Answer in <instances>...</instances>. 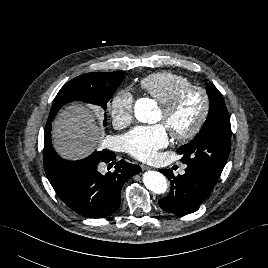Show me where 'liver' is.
Returning <instances> with one entry per match:
<instances>
[{"label": "liver", "instance_id": "1", "mask_svg": "<svg viewBox=\"0 0 268 268\" xmlns=\"http://www.w3.org/2000/svg\"><path fill=\"white\" fill-rule=\"evenodd\" d=\"M52 126L56 151L62 157L71 160L88 156L103 136L90 107L82 104L66 107Z\"/></svg>", "mask_w": 268, "mask_h": 268}]
</instances>
